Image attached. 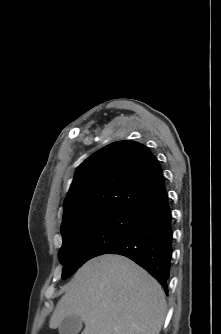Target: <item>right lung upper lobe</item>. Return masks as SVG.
I'll return each instance as SVG.
<instances>
[{"mask_svg":"<svg viewBox=\"0 0 221 334\" xmlns=\"http://www.w3.org/2000/svg\"><path fill=\"white\" fill-rule=\"evenodd\" d=\"M164 189L161 166L144 145L133 141L109 144L76 169L64 201L61 233L99 214H137Z\"/></svg>","mask_w":221,"mask_h":334,"instance_id":"obj_1","label":"right lung upper lobe"}]
</instances>
